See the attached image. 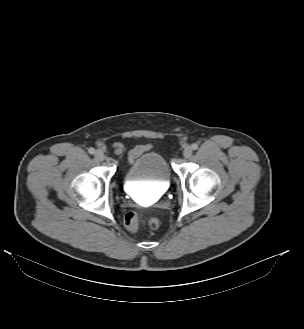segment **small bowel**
Listing matches in <instances>:
<instances>
[{
  "label": "small bowel",
  "instance_id": "obj_1",
  "mask_svg": "<svg viewBox=\"0 0 304 329\" xmlns=\"http://www.w3.org/2000/svg\"><path fill=\"white\" fill-rule=\"evenodd\" d=\"M114 149L117 153H121L124 150V146L121 143L116 142L114 143ZM147 149V145L136 144L133 146L127 154L128 162L131 163L136 157L144 153Z\"/></svg>",
  "mask_w": 304,
  "mask_h": 329
}]
</instances>
